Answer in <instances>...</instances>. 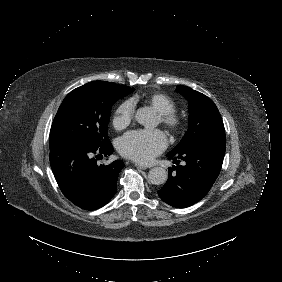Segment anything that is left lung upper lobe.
Returning <instances> with one entry per match:
<instances>
[{
    "mask_svg": "<svg viewBox=\"0 0 282 282\" xmlns=\"http://www.w3.org/2000/svg\"><path fill=\"white\" fill-rule=\"evenodd\" d=\"M176 91L189 102V129L171 152H179L201 138L225 135L222 118L211 99L182 85H178Z\"/></svg>",
    "mask_w": 282,
    "mask_h": 282,
    "instance_id": "1",
    "label": "left lung upper lobe"
}]
</instances>
